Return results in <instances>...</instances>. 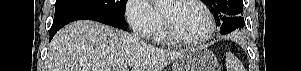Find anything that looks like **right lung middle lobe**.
Here are the masks:
<instances>
[{"instance_id": "right-lung-middle-lobe-1", "label": "right lung middle lobe", "mask_w": 301, "mask_h": 71, "mask_svg": "<svg viewBox=\"0 0 301 71\" xmlns=\"http://www.w3.org/2000/svg\"><path fill=\"white\" fill-rule=\"evenodd\" d=\"M126 0H57L54 18L74 12H100L119 20L125 25L124 11Z\"/></svg>"}]
</instances>
